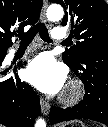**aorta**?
Here are the masks:
<instances>
[{"instance_id":"obj_1","label":"aorta","mask_w":108,"mask_h":127,"mask_svg":"<svg viewBox=\"0 0 108 127\" xmlns=\"http://www.w3.org/2000/svg\"><path fill=\"white\" fill-rule=\"evenodd\" d=\"M46 16L50 21H59L64 16V10L62 6L58 4H52L48 7L46 11ZM35 127H46L44 119L39 118L35 122Z\"/></svg>"}]
</instances>
